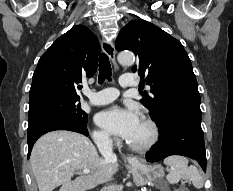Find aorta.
I'll return each mask as SVG.
<instances>
[{"label": "aorta", "instance_id": "aorta-1", "mask_svg": "<svg viewBox=\"0 0 233 191\" xmlns=\"http://www.w3.org/2000/svg\"><path fill=\"white\" fill-rule=\"evenodd\" d=\"M117 59L121 65H125V66H131L135 62V57L133 53L130 51L120 52L117 56Z\"/></svg>", "mask_w": 233, "mask_h": 191}]
</instances>
